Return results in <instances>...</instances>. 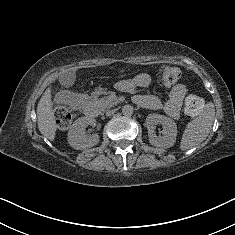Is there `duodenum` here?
I'll return each instance as SVG.
<instances>
[{
  "label": "duodenum",
  "instance_id": "1",
  "mask_svg": "<svg viewBox=\"0 0 235 235\" xmlns=\"http://www.w3.org/2000/svg\"><path fill=\"white\" fill-rule=\"evenodd\" d=\"M87 104H86V114L89 117H94L96 114V110L95 108L89 103V100H87Z\"/></svg>",
  "mask_w": 235,
  "mask_h": 235
}]
</instances>
